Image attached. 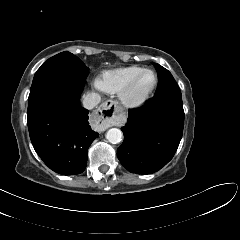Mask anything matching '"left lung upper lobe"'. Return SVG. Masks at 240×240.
I'll use <instances>...</instances> for the list:
<instances>
[{
  "label": "left lung upper lobe",
  "instance_id": "1",
  "mask_svg": "<svg viewBox=\"0 0 240 240\" xmlns=\"http://www.w3.org/2000/svg\"><path fill=\"white\" fill-rule=\"evenodd\" d=\"M155 67L158 71L159 85L154 96L164 94H181L180 89L171 73L157 63H155Z\"/></svg>",
  "mask_w": 240,
  "mask_h": 240
}]
</instances>
